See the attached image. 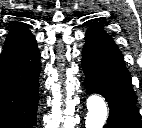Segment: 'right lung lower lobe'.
I'll return each mask as SVG.
<instances>
[{
  "label": "right lung lower lobe",
  "mask_w": 142,
  "mask_h": 128,
  "mask_svg": "<svg viewBox=\"0 0 142 128\" xmlns=\"http://www.w3.org/2000/svg\"><path fill=\"white\" fill-rule=\"evenodd\" d=\"M40 71L36 42L0 60V128H34L37 125Z\"/></svg>",
  "instance_id": "right-lung-lower-lobe-1"
}]
</instances>
